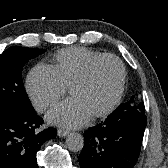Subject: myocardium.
<instances>
[{
  "label": "myocardium",
  "mask_w": 168,
  "mask_h": 168,
  "mask_svg": "<svg viewBox=\"0 0 168 168\" xmlns=\"http://www.w3.org/2000/svg\"><path fill=\"white\" fill-rule=\"evenodd\" d=\"M109 59L115 61L119 67L120 77H119L118 88L112 101L104 109L93 113V116L96 118L104 117L112 113L118 107V105L122 100L124 90H125L126 77H127L126 68L123 61L114 54H110V53L102 54L92 59L85 66L83 71L70 84V88H72L73 86L86 82L91 76L92 71L94 70L96 65L99 64L101 61L109 60Z\"/></svg>",
  "instance_id": "obj_1"
}]
</instances>
